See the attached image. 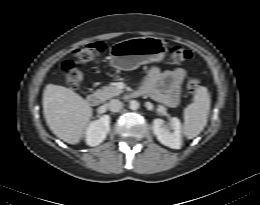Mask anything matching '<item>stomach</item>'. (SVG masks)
<instances>
[{
  "instance_id": "0dacf381",
  "label": "stomach",
  "mask_w": 260,
  "mask_h": 205,
  "mask_svg": "<svg viewBox=\"0 0 260 205\" xmlns=\"http://www.w3.org/2000/svg\"><path fill=\"white\" fill-rule=\"evenodd\" d=\"M110 52L111 65L127 71L142 64L162 61L166 54V45L157 37H137L115 43Z\"/></svg>"
}]
</instances>
